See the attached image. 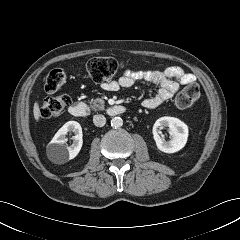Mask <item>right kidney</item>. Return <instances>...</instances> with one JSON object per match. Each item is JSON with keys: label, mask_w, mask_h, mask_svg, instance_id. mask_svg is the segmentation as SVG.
I'll list each match as a JSON object with an SVG mask.
<instances>
[{"label": "right kidney", "mask_w": 240, "mask_h": 240, "mask_svg": "<svg viewBox=\"0 0 240 240\" xmlns=\"http://www.w3.org/2000/svg\"><path fill=\"white\" fill-rule=\"evenodd\" d=\"M73 132L75 136L72 145H66V134ZM81 125L76 121H69L65 123L55 134L47 147V154L49 159L56 164H64L67 161L75 158L81 150L82 139Z\"/></svg>", "instance_id": "right-kidney-1"}]
</instances>
